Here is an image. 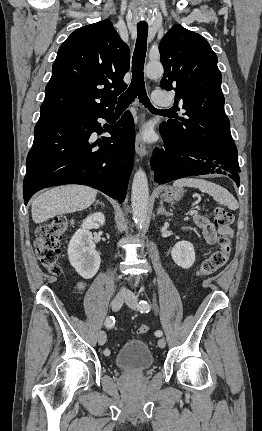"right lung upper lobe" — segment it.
<instances>
[{"label":"right lung upper lobe","instance_id":"1","mask_svg":"<svg viewBox=\"0 0 262 431\" xmlns=\"http://www.w3.org/2000/svg\"><path fill=\"white\" fill-rule=\"evenodd\" d=\"M129 66V48L109 20L75 30L58 50L41 116L113 111Z\"/></svg>","mask_w":262,"mask_h":431}]
</instances>
